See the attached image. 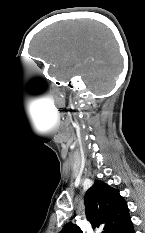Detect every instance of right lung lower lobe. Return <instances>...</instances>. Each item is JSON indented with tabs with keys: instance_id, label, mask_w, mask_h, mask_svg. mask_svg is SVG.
Returning <instances> with one entry per match:
<instances>
[{
	"instance_id": "98d812e1",
	"label": "right lung lower lobe",
	"mask_w": 145,
	"mask_h": 233,
	"mask_svg": "<svg viewBox=\"0 0 145 233\" xmlns=\"http://www.w3.org/2000/svg\"><path fill=\"white\" fill-rule=\"evenodd\" d=\"M115 233H135L131 218H129L126 223L119 228Z\"/></svg>"
}]
</instances>
